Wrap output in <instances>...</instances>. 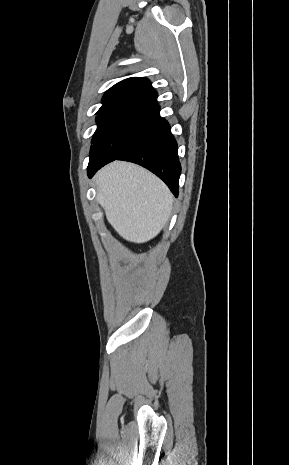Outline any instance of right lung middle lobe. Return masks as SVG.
Segmentation results:
<instances>
[{
    "instance_id": "dd1d6c3e",
    "label": "right lung middle lobe",
    "mask_w": 289,
    "mask_h": 465,
    "mask_svg": "<svg viewBox=\"0 0 289 465\" xmlns=\"http://www.w3.org/2000/svg\"><path fill=\"white\" fill-rule=\"evenodd\" d=\"M159 106L130 103L97 112L90 161H112L132 146L159 118Z\"/></svg>"
}]
</instances>
